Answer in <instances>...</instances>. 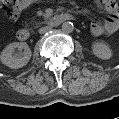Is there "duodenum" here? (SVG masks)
Listing matches in <instances>:
<instances>
[{
    "label": "duodenum",
    "instance_id": "410a0bca",
    "mask_svg": "<svg viewBox=\"0 0 119 119\" xmlns=\"http://www.w3.org/2000/svg\"><path fill=\"white\" fill-rule=\"evenodd\" d=\"M70 20H74L73 15L68 14V13H62V14H56V15L49 17L46 20V24L50 27H57L60 24L66 22V21H70ZM30 36H31V33L27 29H20L17 32V37L21 41L28 40L30 38Z\"/></svg>",
    "mask_w": 119,
    "mask_h": 119
}]
</instances>
